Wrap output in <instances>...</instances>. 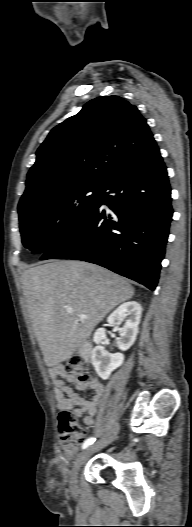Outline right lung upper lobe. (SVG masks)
Returning a JSON list of instances; mask_svg holds the SVG:
<instances>
[{
    "label": "right lung upper lobe",
    "instance_id": "right-lung-upper-lobe-1",
    "mask_svg": "<svg viewBox=\"0 0 192 527\" xmlns=\"http://www.w3.org/2000/svg\"><path fill=\"white\" fill-rule=\"evenodd\" d=\"M153 139L136 106L119 96L95 98L41 144L19 205L80 184L104 185Z\"/></svg>",
    "mask_w": 192,
    "mask_h": 527
}]
</instances>
